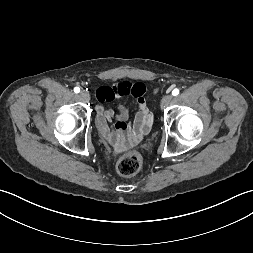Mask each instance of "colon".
<instances>
[{
  "label": "colon",
  "mask_w": 253,
  "mask_h": 253,
  "mask_svg": "<svg viewBox=\"0 0 253 253\" xmlns=\"http://www.w3.org/2000/svg\"><path fill=\"white\" fill-rule=\"evenodd\" d=\"M142 166L141 157L137 153H126L121 155L116 163V169L122 176H133L137 174Z\"/></svg>",
  "instance_id": "5ec220e1"
}]
</instances>
